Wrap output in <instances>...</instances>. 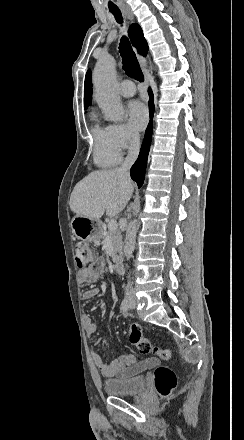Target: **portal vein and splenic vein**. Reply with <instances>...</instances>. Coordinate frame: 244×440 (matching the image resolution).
Returning a JSON list of instances; mask_svg holds the SVG:
<instances>
[{
	"instance_id": "portal-vein-and-splenic-vein-1",
	"label": "portal vein and splenic vein",
	"mask_w": 244,
	"mask_h": 440,
	"mask_svg": "<svg viewBox=\"0 0 244 440\" xmlns=\"http://www.w3.org/2000/svg\"><path fill=\"white\" fill-rule=\"evenodd\" d=\"M117 228H118V226H117L116 220H113V218H111L110 222H108L109 232H113V230H117Z\"/></svg>"
}]
</instances>
